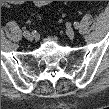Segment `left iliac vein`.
Here are the masks:
<instances>
[{"label": "left iliac vein", "mask_w": 109, "mask_h": 109, "mask_svg": "<svg viewBox=\"0 0 109 109\" xmlns=\"http://www.w3.org/2000/svg\"><path fill=\"white\" fill-rule=\"evenodd\" d=\"M66 34H67V36H68L69 38H73L74 35H75V32H74L73 28L68 27V28L66 29Z\"/></svg>", "instance_id": "1"}]
</instances>
